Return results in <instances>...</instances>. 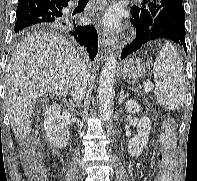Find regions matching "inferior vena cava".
Segmentation results:
<instances>
[{
    "mask_svg": "<svg viewBox=\"0 0 197 181\" xmlns=\"http://www.w3.org/2000/svg\"><path fill=\"white\" fill-rule=\"evenodd\" d=\"M89 78V73L87 67L84 63L81 64L79 71L75 75L72 82V102L74 107H79L81 105L82 99L86 93L87 81Z\"/></svg>",
    "mask_w": 197,
    "mask_h": 181,
    "instance_id": "602c4592",
    "label": "inferior vena cava"
}]
</instances>
